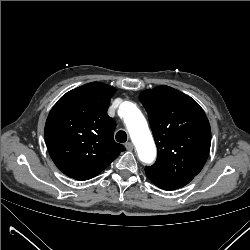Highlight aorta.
<instances>
[{"label":"aorta","instance_id":"1","mask_svg":"<svg viewBox=\"0 0 250 250\" xmlns=\"http://www.w3.org/2000/svg\"><path fill=\"white\" fill-rule=\"evenodd\" d=\"M135 117L127 121V129L138 152L139 159L144 163H152L156 156V147L142 113L132 103H127Z\"/></svg>","mask_w":250,"mask_h":250}]
</instances>
